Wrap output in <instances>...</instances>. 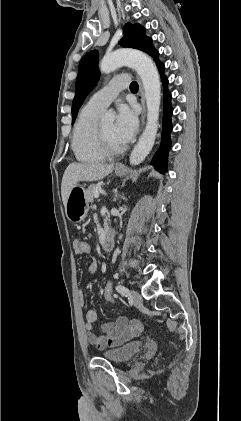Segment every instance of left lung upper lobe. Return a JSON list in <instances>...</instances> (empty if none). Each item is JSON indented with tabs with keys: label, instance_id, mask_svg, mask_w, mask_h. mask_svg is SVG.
<instances>
[{
	"label": "left lung upper lobe",
	"instance_id": "1",
	"mask_svg": "<svg viewBox=\"0 0 241 421\" xmlns=\"http://www.w3.org/2000/svg\"><path fill=\"white\" fill-rule=\"evenodd\" d=\"M124 36L119 44L122 47L143 50L151 40L146 37L144 28L136 23H126L123 27ZM99 78L98 51L85 54L79 64L78 76L75 86V97L72 103V124L77 117L78 110L86 96L95 87Z\"/></svg>",
	"mask_w": 241,
	"mask_h": 421
}]
</instances>
